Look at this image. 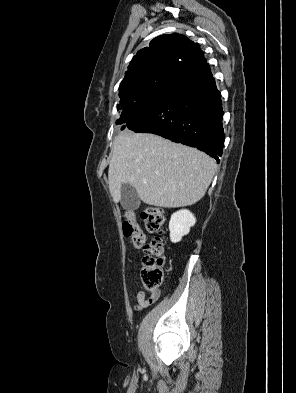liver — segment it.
Segmentation results:
<instances>
[{"label":"liver","mask_w":296,"mask_h":393,"mask_svg":"<svg viewBox=\"0 0 296 393\" xmlns=\"http://www.w3.org/2000/svg\"><path fill=\"white\" fill-rule=\"evenodd\" d=\"M215 171V161L195 148L155 134L125 131L114 140L109 190L114 202L127 183L148 205L189 206L205 195Z\"/></svg>","instance_id":"liver-1"}]
</instances>
